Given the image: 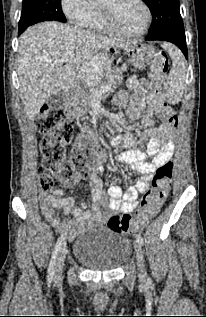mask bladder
<instances>
[{
    "label": "bladder",
    "mask_w": 206,
    "mask_h": 317,
    "mask_svg": "<svg viewBox=\"0 0 206 317\" xmlns=\"http://www.w3.org/2000/svg\"><path fill=\"white\" fill-rule=\"evenodd\" d=\"M133 244L130 239L103 226L84 228L73 247V256L87 268L114 270L129 259Z\"/></svg>",
    "instance_id": "bladder-1"
}]
</instances>
